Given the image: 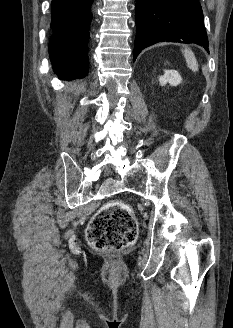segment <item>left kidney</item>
Returning a JSON list of instances; mask_svg holds the SVG:
<instances>
[{
  "label": "left kidney",
  "mask_w": 233,
  "mask_h": 328,
  "mask_svg": "<svg viewBox=\"0 0 233 328\" xmlns=\"http://www.w3.org/2000/svg\"><path fill=\"white\" fill-rule=\"evenodd\" d=\"M182 82V78L178 71L171 69V70H164V75L159 77V83L161 86L166 85L169 83L171 86H177Z\"/></svg>",
  "instance_id": "5707ae66"
}]
</instances>
